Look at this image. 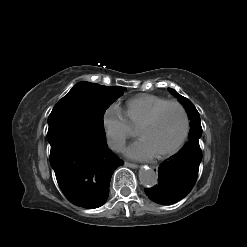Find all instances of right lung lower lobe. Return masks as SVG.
<instances>
[{
	"label": "right lung lower lobe",
	"mask_w": 247,
	"mask_h": 247,
	"mask_svg": "<svg viewBox=\"0 0 247 247\" xmlns=\"http://www.w3.org/2000/svg\"><path fill=\"white\" fill-rule=\"evenodd\" d=\"M50 164L58 185L74 205L95 209L105 203L114 170L123 165L102 139L75 122L49 125Z\"/></svg>",
	"instance_id": "obj_1"
}]
</instances>
